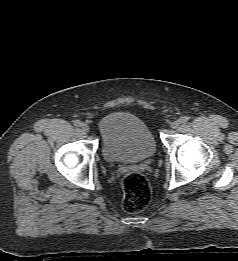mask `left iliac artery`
Listing matches in <instances>:
<instances>
[{"instance_id": "obj_1", "label": "left iliac artery", "mask_w": 238, "mask_h": 261, "mask_svg": "<svg viewBox=\"0 0 238 261\" xmlns=\"http://www.w3.org/2000/svg\"><path fill=\"white\" fill-rule=\"evenodd\" d=\"M188 120H189V118L186 117V116H182V117H180V119H179V121H180L181 123H186Z\"/></svg>"}]
</instances>
